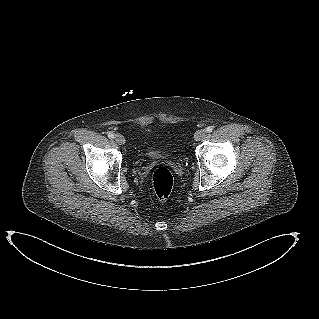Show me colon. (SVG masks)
Wrapping results in <instances>:
<instances>
[{"mask_svg": "<svg viewBox=\"0 0 319 319\" xmlns=\"http://www.w3.org/2000/svg\"><path fill=\"white\" fill-rule=\"evenodd\" d=\"M152 186L159 200L168 199L174 186L172 172L164 166L157 167L152 173Z\"/></svg>", "mask_w": 319, "mask_h": 319, "instance_id": "colon-1", "label": "colon"}]
</instances>
